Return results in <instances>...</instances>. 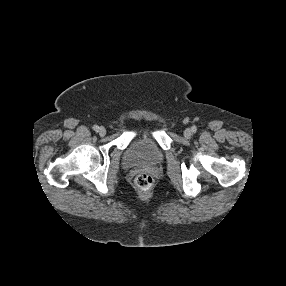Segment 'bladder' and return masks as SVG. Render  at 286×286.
I'll list each match as a JSON object with an SVG mask.
<instances>
[{
  "instance_id": "bladder-1",
  "label": "bladder",
  "mask_w": 286,
  "mask_h": 286,
  "mask_svg": "<svg viewBox=\"0 0 286 286\" xmlns=\"http://www.w3.org/2000/svg\"><path fill=\"white\" fill-rule=\"evenodd\" d=\"M136 138L125 154V161L131 166L155 165L162 161L163 153L152 137L139 129Z\"/></svg>"
}]
</instances>
